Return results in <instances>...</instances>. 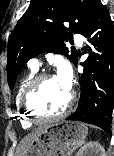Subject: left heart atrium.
<instances>
[{
  "label": "left heart atrium",
  "instance_id": "39dd6f15",
  "mask_svg": "<svg viewBox=\"0 0 114 156\" xmlns=\"http://www.w3.org/2000/svg\"><path fill=\"white\" fill-rule=\"evenodd\" d=\"M56 78L65 90L70 91L72 85V71L68 63L63 62L59 65Z\"/></svg>",
  "mask_w": 114,
  "mask_h": 156
}]
</instances>
